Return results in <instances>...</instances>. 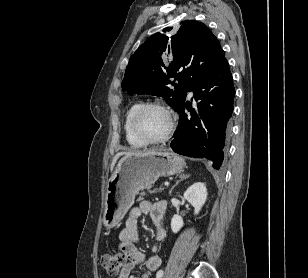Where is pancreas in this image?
I'll return each mask as SVG.
<instances>
[{
  "mask_svg": "<svg viewBox=\"0 0 308 278\" xmlns=\"http://www.w3.org/2000/svg\"><path fill=\"white\" fill-rule=\"evenodd\" d=\"M164 188H159V189H154L153 191L150 190V187H148V192L149 193H156V192H162Z\"/></svg>",
  "mask_w": 308,
  "mask_h": 278,
  "instance_id": "pancreas-1",
  "label": "pancreas"
}]
</instances>
